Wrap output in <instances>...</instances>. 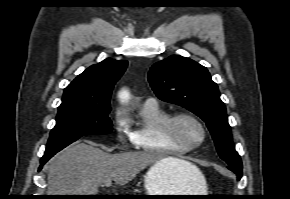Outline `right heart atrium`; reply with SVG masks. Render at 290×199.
I'll use <instances>...</instances> for the list:
<instances>
[{
	"label": "right heart atrium",
	"instance_id": "obj_1",
	"mask_svg": "<svg viewBox=\"0 0 290 199\" xmlns=\"http://www.w3.org/2000/svg\"><path fill=\"white\" fill-rule=\"evenodd\" d=\"M113 126L115 129L117 141L121 146H125L129 141L131 142L128 122L122 112H115L113 117Z\"/></svg>",
	"mask_w": 290,
	"mask_h": 199
}]
</instances>
